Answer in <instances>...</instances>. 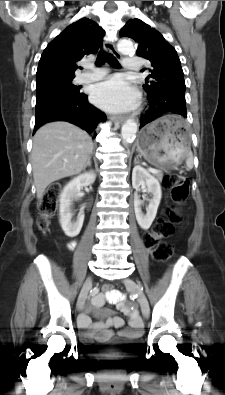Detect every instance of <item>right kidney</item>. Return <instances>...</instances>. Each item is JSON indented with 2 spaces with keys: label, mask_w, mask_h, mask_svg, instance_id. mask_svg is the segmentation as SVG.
Returning <instances> with one entry per match:
<instances>
[{
  "label": "right kidney",
  "mask_w": 225,
  "mask_h": 395,
  "mask_svg": "<svg viewBox=\"0 0 225 395\" xmlns=\"http://www.w3.org/2000/svg\"><path fill=\"white\" fill-rule=\"evenodd\" d=\"M95 178L96 174L94 171L83 173L71 180L62 191L60 196L59 221L64 233L69 237H75L79 234L84 221L83 209H80L76 220L72 221V201L78 196L81 188L93 184Z\"/></svg>",
  "instance_id": "obj_1"
}]
</instances>
